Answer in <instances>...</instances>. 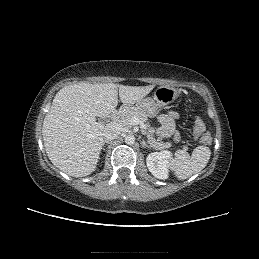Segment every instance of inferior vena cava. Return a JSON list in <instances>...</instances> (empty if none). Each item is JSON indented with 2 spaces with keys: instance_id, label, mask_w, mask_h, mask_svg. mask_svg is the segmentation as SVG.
I'll return each instance as SVG.
<instances>
[{
  "instance_id": "602c4592",
  "label": "inferior vena cava",
  "mask_w": 259,
  "mask_h": 259,
  "mask_svg": "<svg viewBox=\"0 0 259 259\" xmlns=\"http://www.w3.org/2000/svg\"><path fill=\"white\" fill-rule=\"evenodd\" d=\"M121 129L116 124H108L103 131V137L105 141H111L118 137L120 134Z\"/></svg>"
}]
</instances>
